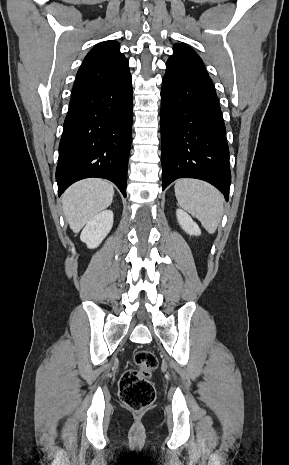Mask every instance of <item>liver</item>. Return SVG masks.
Listing matches in <instances>:
<instances>
[{
  "mask_svg": "<svg viewBox=\"0 0 289 465\" xmlns=\"http://www.w3.org/2000/svg\"><path fill=\"white\" fill-rule=\"evenodd\" d=\"M113 185L103 179H85L73 184L62 196L64 216L74 233H78L113 200Z\"/></svg>",
  "mask_w": 289,
  "mask_h": 465,
  "instance_id": "obj_1",
  "label": "liver"
}]
</instances>
